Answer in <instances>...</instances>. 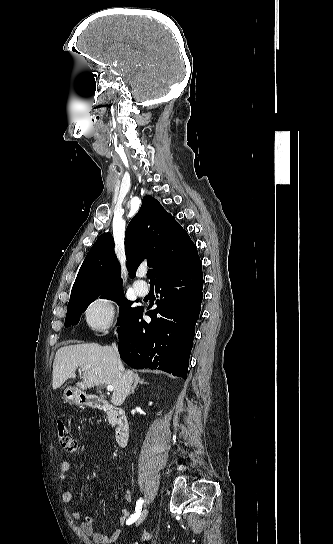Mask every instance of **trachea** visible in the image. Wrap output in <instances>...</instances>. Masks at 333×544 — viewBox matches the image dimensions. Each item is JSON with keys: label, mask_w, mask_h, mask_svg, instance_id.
I'll use <instances>...</instances> for the list:
<instances>
[{"label": "trachea", "mask_w": 333, "mask_h": 544, "mask_svg": "<svg viewBox=\"0 0 333 544\" xmlns=\"http://www.w3.org/2000/svg\"><path fill=\"white\" fill-rule=\"evenodd\" d=\"M147 277H148V279H150V282H154V281H155V277H154V274H153V270H148V272H147Z\"/></svg>", "instance_id": "3493384b"}]
</instances>
